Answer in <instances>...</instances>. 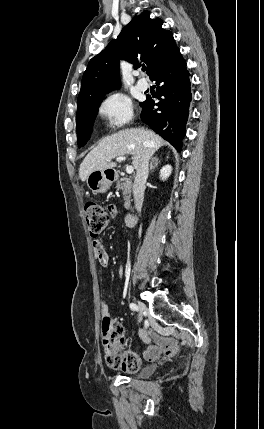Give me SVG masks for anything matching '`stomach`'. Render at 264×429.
<instances>
[{"label":"stomach","instance_id":"stomach-1","mask_svg":"<svg viewBox=\"0 0 264 429\" xmlns=\"http://www.w3.org/2000/svg\"><path fill=\"white\" fill-rule=\"evenodd\" d=\"M117 178L114 169L95 170L86 179L88 188L94 193H105Z\"/></svg>","mask_w":264,"mask_h":429}]
</instances>
